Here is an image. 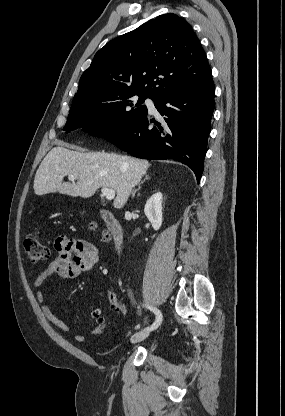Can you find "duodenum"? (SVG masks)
<instances>
[{
    "mask_svg": "<svg viewBox=\"0 0 285 416\" xmlns=\"http://www.w3.org/2000/svg\"><path fill=\"white\" fill-rule=\"evenodd\" d=\"M101 215L104 221V227L111 236L115 244L116 250L119 251L123 243L122 226L119 223L118 219L112 213L108 211H102Z\"/></svg>",
    "mask_w": 285,
    "mask_h": 416,
    "instance_id": "410a0bca",
    "label": "duodenum"
}]
</instances>
